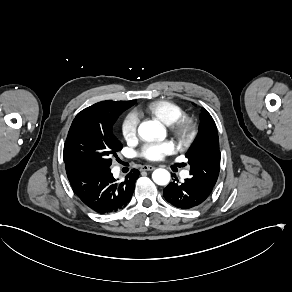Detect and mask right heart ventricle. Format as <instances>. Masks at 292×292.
I'll return each instance as SVG.
<instances>
[{
  "instance_id": "1",
  "label": "right heart ventricle",
  "mask_w": 292,
  "mask_h": 292,
  "mask_svg": "<svg viewBox=\"0 0 292 292\" xmlns=\"http://www.w3.org/2000/svg\"><path fill=\"white\" fill-rule=\"evenodd\" d=\"M145 112L166 125H173L174 122L182 116L181 107L168 100H155L149 102L145 106Z\"/></svg>"
}]
</instances>
